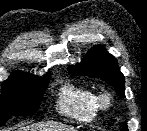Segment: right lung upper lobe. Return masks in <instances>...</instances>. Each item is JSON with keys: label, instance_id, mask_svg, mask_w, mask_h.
<instances>
[{"label": "right lung upper lobe", "instance_id": "1", "mask_svg": "<svg viewBox=\"0 0 147 131\" xmlns=\"http://www.w3.org/2000/svg\"><path fill=\"white\" fill-rule=\"evenodd\" d=\"M11 76H34V75H31V74H28V73H23V72H20V71H15L12 73Z\"/></svg>", "mask_w": 147, "mask_h": 131}]
</instances>
